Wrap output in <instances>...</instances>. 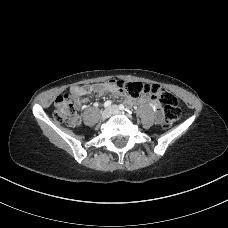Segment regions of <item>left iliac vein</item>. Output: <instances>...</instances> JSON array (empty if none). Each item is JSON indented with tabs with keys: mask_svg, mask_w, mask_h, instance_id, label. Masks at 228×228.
Returning <instances> with one entry per match:
<instances>
[{
	"mask_svg": "<svg viewBox=\"0 0 228 228\" xmlns=\"http://www.w3.org/2000/svg\"><path fill=\"white\" fill-rule=\"evenodd\" d=\"M111 110H112V113L113 114H121L122 113L121 110H120V108L118 106H116V105H113L111 107Z\"/></svg>",
	"mask_w": 228,
	"mask_h": 228,
	"instance_id": "obj_1",
	"label": "left iliac vein"
}]
</instances>
